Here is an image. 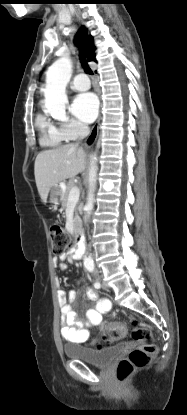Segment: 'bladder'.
Listing matches in <instances>:
<instances>
[{
  "mask_svg": "<svg viewBox=\"0 0 187 415\" xmlns=\"http://www.w3.org/2000/svg\"><path fill=\"white\" fill-rule=\"evenodd\" d=\"M123 344H116L111 347L93 350L81 345H65L64 354L69 359L84 361L90 365L105 368L124 352Z\"/></svg>",
  "mask_w": 187,
  "mask_h": 415,
  "instance_id": "obj_1",
  "label": "bladder"
}]
</instances>
